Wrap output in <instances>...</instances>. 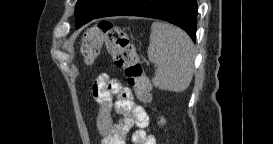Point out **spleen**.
<instances>
[{"mask_svg":"<svg viewBox=\"0 0 273 144\" xmlns=\"http://www.w3.org/2000/svg\"><path fill=\"white\" fill-rule=\"evenodd\" d=\"M148 58L157 66L152 83L155 87L182 92L193 76L194 49L189 36L178 27L152 23Z\"/></svg>","mask_w":273,"mask_h":144,"instance_id":"obj_1","label":"spleen"}]
</instances>
